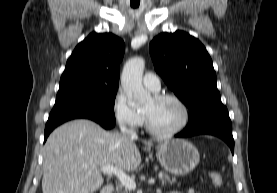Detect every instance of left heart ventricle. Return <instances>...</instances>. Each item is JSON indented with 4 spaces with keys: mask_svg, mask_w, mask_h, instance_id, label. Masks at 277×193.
<instances>
[{
    "mask_svg": "<svg viewBox=\"0 0 277 193\" xmlns=\"http://www.w3.org/2000/svg\"><path fill=\"white\" fill-rule=\"evenodd\" d=\"M152 124L159 130L169 131L180 125L183 119L181 107L173 100L155 101L151 98L144 106Z\"/></svg>",
    "mask_w": 277,
    "mask_h": 193,
    "instance_id": "1",
    "label": "left heart ventricle"
}]
</instances>
